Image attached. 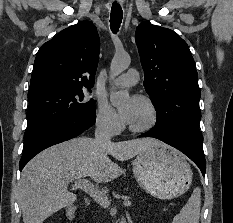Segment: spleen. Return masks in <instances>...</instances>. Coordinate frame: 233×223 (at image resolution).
I'll return each instance as SVG.
<instances>
[{
    "label": "spleen",
    "mask_w": 233,
    "mask_h": 223,
    "mask_svg": "<svg viewBox=\"0 0 233 223\" xmlns=\"http://www.w3.org/2000/svg\"><path fill=\"white\" fill-rule=\"evenodd\" d=\"M201 205V189L195 187L186 205L176 215L174 223H199Z\"/></svg>",
    "instance_id": "1"
}]
</instances>
